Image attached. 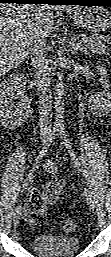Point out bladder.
Segmentation results:
<instances>
[{
    "instance_id": "31cf9c89",
    "label": "bladder",
    "mask_w": 111,
    "mask_h": 257,
    "mask_svg": "<svg viewBox=\"0 0 111 257\" xmlns=\"http://www.w3.org/2000/svg\"><path fill=\"white\" fill-rule=\"evenodd\" d=\"M31 249L39 257H73L79 252L80 241L74 236L41 234L33 238Z\"/></svg>"
}]
</instances>
